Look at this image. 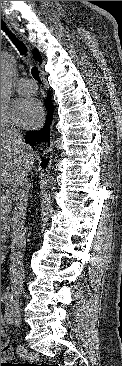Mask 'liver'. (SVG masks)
<instances>
[{"mask_svg": "<svg viewBox=\"0 0 122 366\" xmlns=\"http://www.w3.org/2000/svg\"><path fill=\"white\" fill-rule=\"evenodd\" d=\"M28 153L31 154V159L29 157V166L26 167L25 154L17 146L8 143L6 132L1 131V184L3 186L14 188L24 172L30 174L34 167L36 153L31 146Z\"/></svg>", "mask_w": 122, "mask_h": 366, "instance_id": "6515ba94", "label": "liver"}]
</instances>
